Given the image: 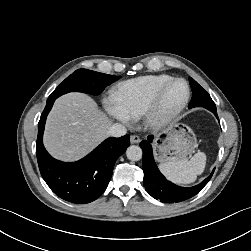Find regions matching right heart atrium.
<instances>
[{
	"label": "right heart atrium",
	"instance_id": "1",
	"mask_svg": "<svg viewBox=\"0 0 251 251\" xmlns=\"http://www.w3.org/2000/svg\"><path fill=\"white\" fill-rule=\"evenodd\" d=\"M105 107L107 109V111L113 115L115 118H117L118 120H120L121 122L125 123V124H129L131 121V118L126 115L117 105L114 97H108L105 99Z\"/></svg>",
	"mask_w": 251,
	"mask_h": 251
}]
</instances>
